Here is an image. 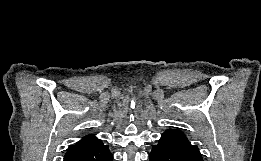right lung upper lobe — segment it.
Here are the masks:
<instances>
[{
	"label": "right lung upper lobe",
	"instance_id": "cb5924a9",
	"mask_svg": "<svg viewBox=\"0 0 261 161\" xmlns=\"http://www.w3.org/2000/svg\"><path fill=\"white\" fill-rule=\"evenodd\" d=\"M101 144L103 143L99 139H97L93 135H89L84 137L77 144L71 145L68 149V152L85 150V149L96 147Z\"/></svg>",
	"mask_w": 261,
	"mask_h": 161
}]
</instances>
